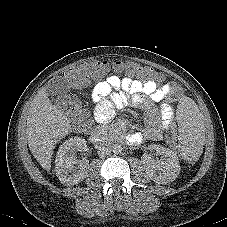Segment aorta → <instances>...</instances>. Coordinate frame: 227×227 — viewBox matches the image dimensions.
Returning <instances> with one entry per match:
<instances>
[{
	"mask_svg": "<svg viewBox=\"0 0 227 227\" xmlns=\"http://www.w3.org/2000/svg\"><path fill=\"white\" fill-rule=\"evenodd\" d=\"M121 151H122V146L120 144H114L112 146V152L114 154H119V153H121Z\"/></svg>",
	"mask_w": 227,
	"mask_h": 227,
	"instance_id": "762f6f07",
	"label": "aorta"
}]
</instances>
